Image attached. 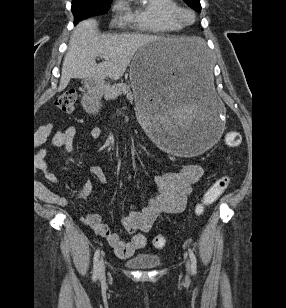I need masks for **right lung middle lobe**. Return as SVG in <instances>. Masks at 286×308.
Listing matches in <instances>:
<instances>
[{
    "label": "right lung middle lobe",
    "mask_w": 286,
    "mask_h": 308,
    "mask_svg": "<svg viewBox=\"0 0 286 308\" xmlns=\"http://www.w3.org/2000/svg\"><path fill=\"white\" fill-rule=\"evenodd\" d=\"M112 0H72V13L74 15V23L95 16L105 14Z\"/></svg>",
    "instance_id": "1"
}]
</instances>
